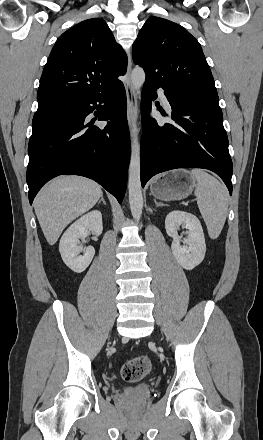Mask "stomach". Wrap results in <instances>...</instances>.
Instances as JSON below:
<instances>
[{
	"label": "stomach",
	"mask_w": 263,
	"mask_h": 440,
	"mask_svg": "<svg viewBox=\"0 0 263 440\" xmlns=\"http://www.w3.org/2000/svg\"><path fill=\"white\" fill-rule=\"evenodd\" d=\"M196 179L189 171L179 169L157 176L150 185L151 194L162 201L181 200L188 197Z\"/></svg>",
	"instance_id": "0dacf381"
}]
</instances>
